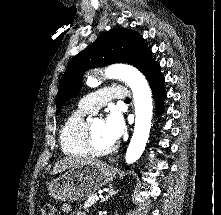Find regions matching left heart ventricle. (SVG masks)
Returning <instances> with one entry per match:
<instances>
[{
    "label": "left heart ventricle",
    "mask_w": 221,
    "mask_h": 215,
    "mask_svg": "<svg viewBox=\"0 0 221 215\" xmlns=\"http://www.w3.org/2000/svg\"><path fill=\"white\" fill-rule=\"evenodd\" d=\"M91 126L93 130L94 141L98 147L107 148L114 144V142L111 141L105 134L104 122L102 120H94L91 122Z\"/></svg>",
    "instance_id": "obj_1"
}]
</instances>
